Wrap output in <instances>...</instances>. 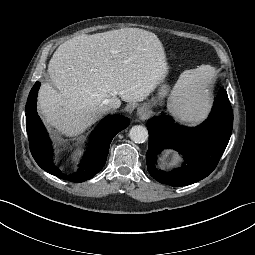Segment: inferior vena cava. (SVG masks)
<instances>
[{
    "mask_svg": "<svg viewBox=\"0 0 255 255\" xmlns=\"http://www.w3.org/2000/svg\"><path fill=\"white\" fill-rule=\"evenodd\" d=\"M106 104L109 108L117 109L121 105V101L117 97H111L106 101Z\"/></svg>",
    "mask_w": 255,
    "mask_h": 255,
    "instance_id": "obj_1",
    "label": "inferior vena cava"
}]
</instances>
